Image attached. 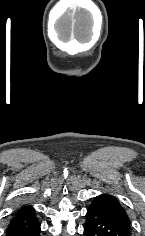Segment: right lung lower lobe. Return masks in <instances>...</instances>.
I'll return each mask as SVG.
<instances>
[{
    "instance_id": "right-lung-lower-lobe-1",
    "label": "right lung lower lobe",
    "mask_w": 145,
    "mask_h": 236,
    "mask_svg": "<svg viewBox=\"0 0 145 236\" xmlns=\"http://www.w3.org/2000/svg\"><path fill=\"white\" fill-rule=\"evenodd\" d=\"M40 223L32 207L20 209L13 214L6 236H39Z\"/></svg>"
}]
</instances>
